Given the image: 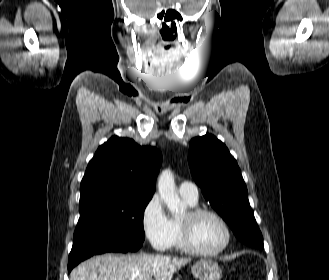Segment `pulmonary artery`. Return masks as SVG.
Wrapping results in <instances>:
<instances>
[{"label": "pulmonary artery", "instance_id": "e3ab8cb5", "mask_svg": "<svg viewBox=\"0 0 329 280\" xmlns=\"http://www.w3.org/2000/svg\"><path fill=\"white\" fill-rule=\"evenodd\" d=\"M179 193L191 201H197L199 196L198 187L189 181H184L179 185Z\"/></svg>", "mask_w": 329, "mask_h": 280}]
</instances>
